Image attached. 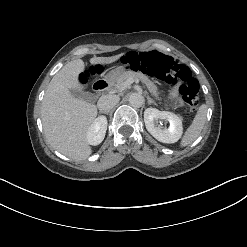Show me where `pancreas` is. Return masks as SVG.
Wrapping results in <instances>:
<instances>
[{"label":"pancreas","mask_w":247,"mask_h":247,"mask_svg":"<svg viewBox=\"0 0 247 247\" xmlns=\"http://www.w3.org/2000/svg\"><path fill=\"white\" fill-rule=\"evenodd\" d=\"M128 79L140 80L156 98L158 97L157 86L147 76L132 71L124 72L118 77L114 84L115 91L120 90Z\"/></svg>","instance_id":"cf45deb5"}]
</instances>
